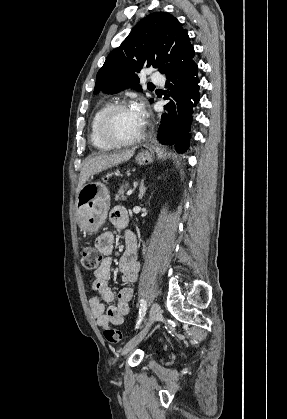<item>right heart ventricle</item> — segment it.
Instances as JSON below:
<instances>
[{
	"mask_svg": "<svg viewBox=\"0 0 287 419\" xmlns=\"http://www.w3.org/2000/svg\"><path fill=\"white\" fill-rule=\"evenodd\" d=\"M109 106H110L109 103H104L103 105H101L93 114L91 122H90L89 140L95 148L100 149V150H110L115 147L105 142L100 136L99 131H98L99 120L102 114L105 112V110Z\"/></svg>",
	"mask_w": 287,
	"mask_h": 419,
	"instance_id": "right-heart-ventricle-1",
	"label": "right heart ventricle"
}]
</instances>
